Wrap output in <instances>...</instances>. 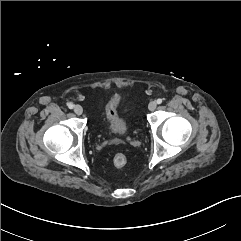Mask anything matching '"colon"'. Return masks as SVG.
<instances>
[{
  "label": "colon",
  "mask_w": 241,
  "mask_h": 241,
  "mask_svg": "<svg viewBox=\"0 0 241 241\" xmlns=\"http://www.w3.org/2000/svg\"><path fill=\"white\" fill-rule=\"evenodd\" d=\"M107 109L111 111V113H115L114 107L112 105H108ZM113 163L116 167H124L127 164V157L122 153H118L114 156Z\"/></svg>",
  "instance_id": "colon-1"
}]
</instances>
